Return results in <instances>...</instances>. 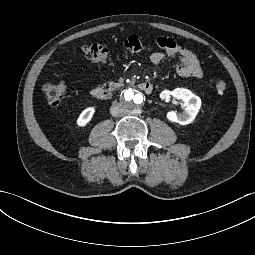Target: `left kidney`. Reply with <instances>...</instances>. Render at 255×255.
I'll use <instances>...</instances> for the list:
<instances>
[{"instance_id":"5707ae66","label":"left kidney","mask_w":255,"mask_h":255,"mask_svg":"<svg viewBox=\"0 0 255 255\" xmlns=\"http://www.w3.org/2000/svg\"><path fill=\"white\" fill-rule=\"evenodd\" d=\"M171 95L175 99H178L184 102L182 106L181 113H176L170 111L166 113V118L170 122L178 123L180 125L190 124L196 117L200 107L201 99L199 96H196L193 92L186 88H175L174 90L168 92L164 91L161 93V98H166Z\"/></svg>"}]
</instances>
